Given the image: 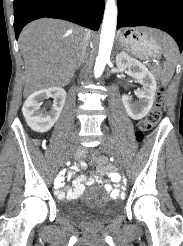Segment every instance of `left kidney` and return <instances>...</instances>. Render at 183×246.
<instances>
[{
  "label": "left kidney",
  "mask_w": 183,
  "mask_h": 246,
  "mask_svg": "<svg viewBox=\"0 0 183 246\" xmlns=\"http://www.w3.org/2000/svg\"><path fill=\"white\" fill-rule=\"evenodd\" d=\"M116 65L120 72L128 71L142 85L136 93L138 102H133L130 95H122V102L127 114L134 120L142 119L153 106L157 90L156 79L144 64L125 52L116 55Z\"/></svg>",
  "instance_id": "left-kidney-1"
}]
</instances>
